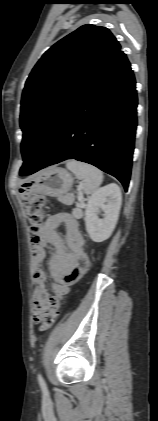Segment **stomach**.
I'll list each match as a JSON object with an SVG mask.
<instances>
[{
  "label": "stomach",
  "mask_w": 158,
  "mask_h": 421,
  "mask_svg": "<svg viewBox=\"0 0 158 421\" xmlns=\"http://www.w3.org/2000/svg\"><path fill=\"white\" fill-rule=\"evenodd\" d=\"M74 183L73 176L63 168L51 167L42 170L22 185V197L43 194L60 197L68 193Z\"/></svg>",
  "instance_id": "1"
}]
</instances>
